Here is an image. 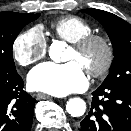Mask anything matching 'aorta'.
<instances>
[{
  "label": "aorta",
  "instance_id": "aorta-1",
  "mask_svg": "<svg viewBox=\"0 0 131 131\" xmlns=\"http://www.w3.org/2000/svg\"><path fill=\"white\" fill-rule=\"evenodd\" d=\"M62 47L59 43L55 42L49 49L50 58L57 61L62 54ZM66 110L72 117H80L86 111V103L81 98H71L66 103Z\"/></svg>",
  "mask_w": 131,
  "mask_h": 131
}]
</instances>
